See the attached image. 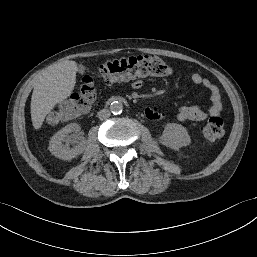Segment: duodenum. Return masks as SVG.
I'll return each mask as SVG.
<instances>
[{"label":"duodenum","mask_w":257,"mask_h":257,"mask_svg":"<svg viewBox=\"0 0 257 257\" xmlns=\"http://www.w3.org/2000/svg\"><path fill=\"white\" fill-rule=\"evenodd\" d=\"M116 99H118V98H117V97H114V98H112V101H113V100H116Z\"/></svg>","instance_id":"obj_1"}]
</instances>
